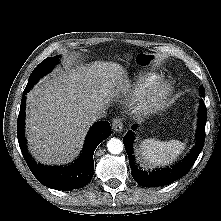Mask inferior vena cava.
<instances>
[{
    "label": "inferior vena cava",
    "instance_id": "obj_1",
    "mask_svg": "<svg viewBox=\"0 0 221 221\" xmlns=\"http://www.w3.org/2000/svg\"><path fill=\"white\" fill-rule=\"evenodd\" d=\"M106 109H95L94 111H92L90 117H89V120L91 123L95 122L96 120L98 119H101L103 117L106 116Z\"/></svg>",
    "mask_w": 221,
    "mask_h": 221
}]
</instances>
